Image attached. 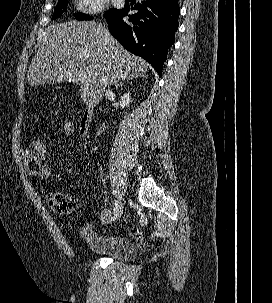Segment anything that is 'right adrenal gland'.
<instances>
[{
	"label": "right adrenal gland",
	"instance_id": "right-adrenal-gland-1",
	"mask_svg": "<svg viewBox=\"0 0 272 303\" xmlns=\"http://www.w3.org/2000/svg\"><path fill=\"white\" fill-rule=\"evenodd\" d=\"M128 82V80H125V81H121V82H119V83H116L115 84V87L117 88V87H119V86H123L125 83H127Z\"/></svg>",
	"mask_w": 272,
	"mask_h": 303
}]
</instances>
